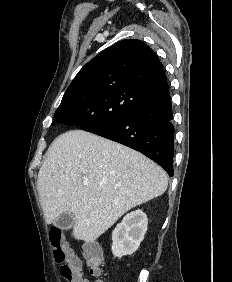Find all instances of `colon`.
<instances>
[{
  "label": "colon",
  "instance_id": "1",
  "mask_svg": "<svg viewBox=\"0 0 232 282\" xmlns=\"http://www.w3.org/2000/svg\"><path fill=\"white\" fill-rule=\"evenodd\" d=\"M49 239L53 247L55 261L60 266L61 276L69 282H78L82 277L81 262L69 252L62 240V231L53 227L49 231ZM85 264L90 269L92 275L99 277L101 275V253L93 245L85 249ZM96 282H103L98 279Z\"/></svg>",
  "mask_w": 232,
  "mask_h": 282
}]
</instances>
